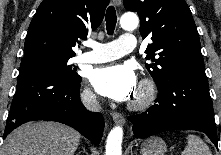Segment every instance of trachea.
Listing matches in <instances>:
<instances>
[{
	"label": "trachea",
	"instance_id": "1",
	"mask_svg": "<svg viewBox=\"0 0 221 155\" xmlns=\"http://www.w3.org/2000/svg\"><path fill=\"white\" fill-rule=\"evenodd\" d=\"M117 22L116 11L113 6L108 7L106 11V30L109 35H112Z\"/></svg>",
	"mask_w": 221,
	"mask_h": 155
}]
</instances>
